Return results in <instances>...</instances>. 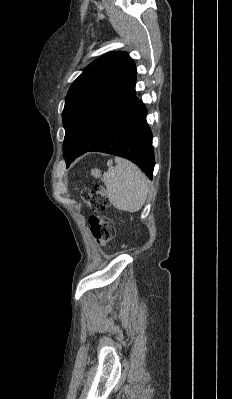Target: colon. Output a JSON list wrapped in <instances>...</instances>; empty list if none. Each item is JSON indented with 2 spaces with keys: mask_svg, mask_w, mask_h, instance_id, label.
<instances>
[{
  "mask_svg": "<svg viewBox=\"0 0 232 399\" xmlns=\"http://www.w3.org/2000/svg\"><path fill=\"white\" fill-rule=\"evenodd\" d=\"M79 196H86L84 207L90 209L94 217H88V226L94 230V239H102V246H107V241L117 238L118 225H114L111 217H107V204L111 203V193L102 190V185H97V191L91 188V179H86V191L83 186H76ZM94 196H97V203H94ZM102 213V219L99 214Z\"/></svg>",
  "mask_w": 232,
  "mask_h": 399,
  "instance_id": "obj_1",
  "label": "colon"
}]
</instances>
